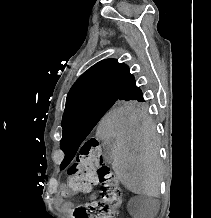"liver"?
I'll list each match as a JSON object with an SVG mask.
<instances>
[{
  "label": "liver",
  "mask_w": 211,
  "mask_h": 218,
  "mask_svg": "<svg viewBox=\"0 0 211 218\" xmlns=\"http://www.w3.org/2000/svg\"><path fill=\"white\" fill-rule=\"evenodd\" d=\"M96 136L109 144L112 168L121 184L134 194L158 198L159 138L147 112L114 108L102 118Z\"/></svg>",
  "instance_id": "1"
}]
</instances>
